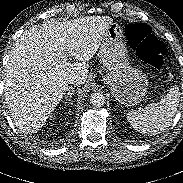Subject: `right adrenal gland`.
<instances>
[{
  "label": "right adrenal gland",
  "mask_w": 183,
  "mask_h": 183,
  "mask_svg": "<svg viewBox=\"0 0 183 183\" xmlns=\"http://www.w3.org/2000/svg\"><path fill=\"white\" fill-rule=\"evenodd\" d=\"M74 91H75V88L73 86L69 87L68 92L65 96V99L71 101V98H72V95L74 94Z\"/></svg>",
  "instance_id": "right-adrenal-gland-1"
}]
</instances>
